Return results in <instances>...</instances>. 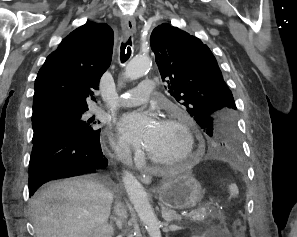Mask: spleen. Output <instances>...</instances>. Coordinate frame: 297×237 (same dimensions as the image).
<instances>
[{
    "instance_id": "spleen-1",
    "label": "spleen",
    "mask_w": 297,
    "mask_h": 237,
    "mask_svg": "<svg viewBox=\"0 0 297 237\" xmlns=\"http://www.w3.org/2000/svg\"><path fill=\"white\" fill-rule=\"evenodd\" d=\"M231 196H236L238 194V188L235 184L230 185Z\"/></svg>"
}]
</instances>
